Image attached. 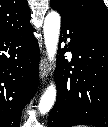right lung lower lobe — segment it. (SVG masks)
<instances>
[{"label":"right lung lower lobe","mask_w":108,"mask_h":127,"mask_svg":"<svg viewBox=\"0 0 108 127\" xmlns=\"http://www.w3.org/2000/svg\"><path fill=\"white\" fill-rule=\"evenodd\" d=\"M39 59L32 26L0 35V127H19L38 87Z\"/></svg>","instance_id":"1"}]
</instances>
